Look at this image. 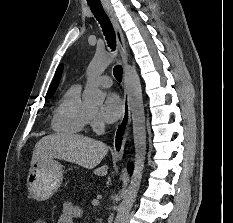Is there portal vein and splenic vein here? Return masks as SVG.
I'll list each match as a JSON object with an SVG mask.
<instances>
[{"instance_id":"portal-vein-and-splenic-vein-1","label":"portal vein and splenic vein","mask_w":233,"mask_h":223,"mask_svg":"<svg viewBox=\"0 0 233 223\" xmlns=\"http://www.w3.org/2000/svg\"><path fill=\"white\" fill-rule=\"evenodd\" d=\"M93 206H99V201H93Z\"/></svg>"}]
</instances>
